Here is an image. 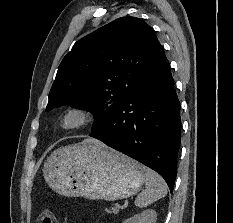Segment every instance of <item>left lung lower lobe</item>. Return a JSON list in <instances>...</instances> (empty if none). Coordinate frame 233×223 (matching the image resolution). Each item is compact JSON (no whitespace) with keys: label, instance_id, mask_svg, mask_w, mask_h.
<instances>
[{"label":"left lung lower lobe","instance_id":"0a47b994","mask_svg":"<svg viewBox=\"0 0 233 223\" xmlns=\"http://www.w3.org/2000/svg\"><path fill=\"white\" fill-rule=\"evenodd\" d=\"M90 136L155 170L173 191L180 104L162 45L116 116Z\"/></svg>","mask_w":233,"mask_h":223}]
</instances>
